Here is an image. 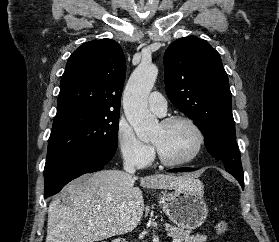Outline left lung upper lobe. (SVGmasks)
Masks as SVG:
<instances>
[{
	"instance_id": "obj_1",
	"label": "left lung upper lobe",
	"mask_w": 279,
	"mask_h": 242,
	"mask_svg": "<svg viewBox=\"0 0 279 242\" xmlns=\"http://www.w3.org/2000/svg\"><path fill=\"white\" fill-rule=\"evenodd\" d=\"M167 96L205 137L207 151L226 171L244 178L231 109L232 94L219 53L197 37L180 38L164 55Z\"/></svg>"
}]
</instances>
